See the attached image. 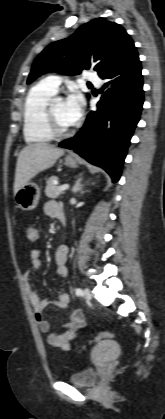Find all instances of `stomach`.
<instances>
[{
    "label": "stomach",
    "mask_w": 165,
    "mask_h": 419,
    "mask_svg": "<svg viewBox=\"0 0 165 419\" xmlns=\"http://www.w3.org/2000/svg\"><path fill=\"white\" fill-rule=\"evenodd\" d=\"M64 164L70 168H76L77 160L74 157L67 156ZM40 195L41 191L39 186L33 182H28L16 192L14 198L19 208L30 211L37 207Z\"/></svg>",
    "instance_id": "obj_1"
}]
</instances>
